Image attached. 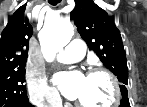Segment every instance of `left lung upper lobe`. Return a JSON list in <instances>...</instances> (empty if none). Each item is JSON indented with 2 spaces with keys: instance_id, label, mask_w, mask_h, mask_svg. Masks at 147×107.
Masks as SVG:
<instances>
[{
  "instance_id": "obj_1",
  "label": "left lung upper lobe",
  "mask_w": 147,
  "mask_h": 107,
  "mask_svg": "<svg viewBox=\"0 0 147 107\" xmlns=\"http://www.w3.org/2000/svg\"><path fill=\"white\" fill-rule=\"evenodd\" d=\"M76 6L70 13L82 39L112 71L121 83L122 96H127L128 68L120 31L114 18L92 0H75Z\"/></svg>"
}]
</instances>
